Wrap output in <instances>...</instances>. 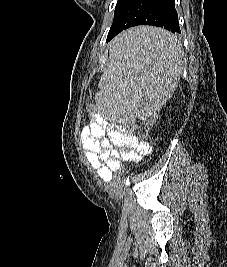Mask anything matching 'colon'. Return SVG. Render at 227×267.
Returning <instances> with one entry per match:
<instances>
[{
  "instance_id": "5ec220e1",
  "label": "colon",
  "mask_w": 227,
  "mask_h": 267,
  "mask_svg": "<svg viewBox=\"0 0 227 267\" xmlns=\"http://www.w3.org/2000/svg\"><path fill=\"white\" fill-rule=\"evenodd\" d=\"M89 110L93 111L94 108L90 107ZM159 118H160V113H155V115L146 116V119L149 120L142 121V124L146 125L148 130L146 131V134L148 135L147 136L148 140L154 139V136L151 135L150 131L155 130V125L158 124ZM134 164H137V157H135V155H128V159H126V161H123V167L121 171H119V176H126V174H130V171H134L135 170Z\"/></svg>"
}]
</instances>
